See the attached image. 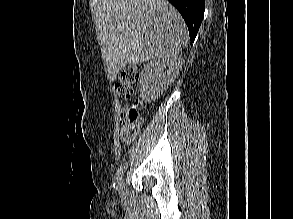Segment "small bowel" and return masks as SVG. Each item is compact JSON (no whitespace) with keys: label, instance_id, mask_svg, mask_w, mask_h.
Wrapping results in <instances>:
<instances>
[{"label":"small bowel","instance_id":"1","mask_svg":"<svg viewBox=\"0 0 293 219\" xmlns=\"http://www.w3.org/2000/svg\"><path fill=\"white\" fill-rule=\"evenodd\" d=\"M132 129L131 127L127 125H123L120 131V137L124 144L130 143L135 137V133H131Z\"/></svg>","mask_w":293,"mask_h":219}]
</instances>
